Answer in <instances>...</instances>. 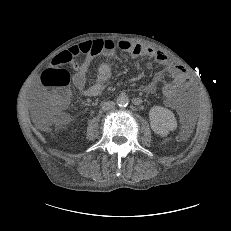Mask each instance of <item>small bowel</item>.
I'll return each instance as SVG.
<instances>
[{
  "instance_id": "c3829d8e",
  "label": "small bowel",
  "mask_w": 231,
  "mask_h": 231,
  "mask_svg": "<svg viewBox=\"0 0 231 231\" xmlns=\"http://www.w3.org/2000/svg\"><path fill=\"white\" fill-rule=\"evenodd\" d=\"M122 51L130 54L133 57H149L163 66L165 70L173 77L174 84L178 89L186 88L190 83L189 75L186 69L179 63L171 61L168 56L152 47L143 46L122 40L117 45ZM116 53V44L112 40H94L83 42L79 45L70 47L68 50L62 52L60 55L63 58L61 64H70L74 70L72 81L75 87L83 91L86 97H95L99 95L106 87L111 78L112 71L109 63L102 62L98 66L97 80L92 85L86 87V79L88 71L93 62L100 56L112 58ZM83 55L81 62L76 61V57ZM54 65V60L52 62ZM160 78H157V81ZM155 90V83H150L144 87L146 93H151ZM178 101L177 98L170 99L165 96V104L170 107H175Z\"/></svg>"
}]
</instances>
